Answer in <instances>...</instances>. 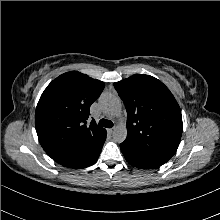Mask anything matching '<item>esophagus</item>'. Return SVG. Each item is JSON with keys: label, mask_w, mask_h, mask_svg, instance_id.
Here are the masks:
<instances>
[{"label": "esophagus", "mask_w": 220, "mask_h": 220, "mask_svg": "<svg viewBox=\"0 0 220 220\" xmlns=\"http://www.w3.org/2000/svg\"><path fill=\"white\" fill-rule=\"evenodd\" d=\"M114 130H115V128H111V129H108V132H109V133H113Z\"/></svg>", "instance_id": "34e87169"}]
</instances>
